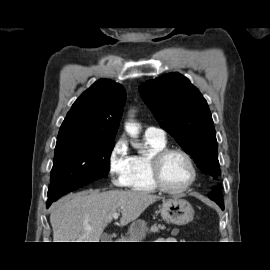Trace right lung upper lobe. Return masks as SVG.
Instances as JSON below:
<instances>
[{"label":"right lung upper lobe","instance_id":"1","mask_svg":"<svg viewBox=\"0 0 270 270\" xmlns=\"http://www.w3.org/2000/svg\"><path fill=\"white\" fill-rule=\"evenodd\" d=\"M126 100L122 85L100 79L72 105L58 137L114 140Z\"/></svg>","mask_w":270,"mask_h":270}]
</instances>
